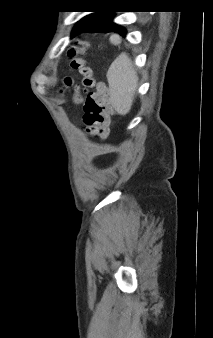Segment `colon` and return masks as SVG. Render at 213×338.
Here are the masks:
<instances>
[{"instance_id": "obj_1", "label": "colon", "mask_w": 213, "mask_h": 338, "mask_svg": "<svg viewBox=\"0 0 213 338\" xmlns=\"http://www.w3.org/2000/svg\"><path fill=\"white\" fill-rule=\"evenodd\" d=\"M87 46V43L79 42L78 46L69 50L68 55L71 58V67L82 74V84L87 91L83 114L86 130L90 135L104 137L109 131V103L106 87L103 84L96 85L94 68L83 57ZM66 84L71 85L72 80L67 78Z\"/></svg>"}]
</instances>
